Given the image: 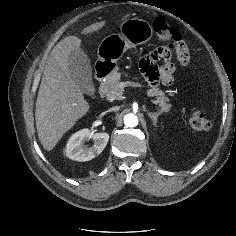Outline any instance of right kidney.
Returning a JSON list of instances; mask_svg holds the SVG:
<instances>
[{"instance_id": "right-kidney-1", "label": "right kidney", "mask_w": 236, "mask_h": 236, "mask_svg": "<svg viewBox=\"0 0 236 236\" xmlns=\"http://www.w3.org/2000/svg\"><path fill=\"white\" fill-rule=\"evenodd\" d=\"M89 139H93L94 143L92 146L86 147L84 142ZM108 140V133H94L89 129L80 130L69 139L66 145V156L75 161H89L104 150Z\"/></svg>"}]
</instances>
